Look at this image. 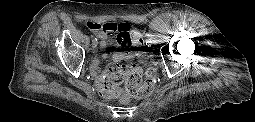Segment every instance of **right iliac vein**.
I'll list each match as a JSON object with an SVG mask.
<instances>
[{
  "label": "right iliac vein",
  "mask_w": 255,
  "mask_h": 122,
  "mask_svg": "<svg viewBox=\"0 0 255 122\" xmlns=\"http://www.w3.org/2000/svg\"><path fill=\"white\" fill-rule=\"evenodd\" d=\"M97 44H98V43H92V45H91L92 50H93V53H96Z\"/></svg>",
  "instance_id": "right-iliac-vein-1"
}]
</instances>
